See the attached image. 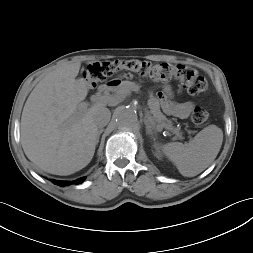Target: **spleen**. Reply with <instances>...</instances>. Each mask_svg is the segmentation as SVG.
I'll return each instance as SVG.
<instances>
[{"label": "spleen", "mask_w": 253, "mask_h": 253, "mask_svg": "<svg viewBox=\"0 0 253 253\" xmlns=\"http://www.w3.org/2000/svg\"><path fill=\"white\" fill-rule=\"evenodd\" d=\"M223 142V132L216 125L201 130L189 143L171 142L163 146L164 154L180 174L193 177L215 160Z\"/></svg>", "instance_id": "spleen-1"}]
</instances>
